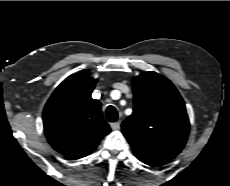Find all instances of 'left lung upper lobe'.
<instances>
[{"instance_id":"5c2ea615","label":"left lung upper lobe","mask_w":230,"mask_h":186,"mask_svg":"<svg viewBox=\"0 0 230 186\" xmlns=\"http://www.w3.org/2000/svg\"><path fill=\"white\" fill-rule=\"evenodd\" d=\"M132 85L134 110L123 121L122 133L140 161L151 166L166 163L188 138L184 101L167 78L153 71L134 77Z\"/></svg>"}]
</instances>
